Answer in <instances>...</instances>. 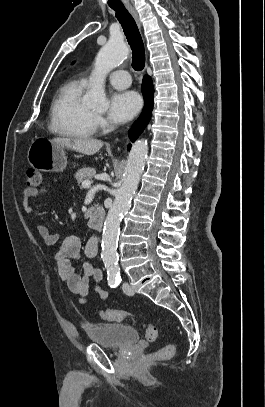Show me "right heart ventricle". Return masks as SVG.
Returning a JSON list of instances; mask_svg holds the SVG:
<instances>
[{
  "instance_id": "1",
  "label": "right heart ventricle",
  "mask_w": 265,
  "mask_h": 407,
  "mask_svg": "<svg viewBox=\"0 0 265 407\" xmlns=\"http://www.w3.org/2000/svg\"><path fill=\"white\" fill-rule=\"evenodd\" d=\"M85 83L72 80L64 84L50 109L49 129L56 135L89 138L96 131V117L81 101Z\"/></svg>"
}]
</instances>
